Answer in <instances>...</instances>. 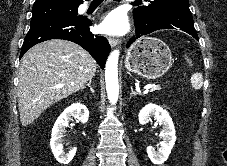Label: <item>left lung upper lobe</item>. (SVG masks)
<instances>
[{"mask_svg":"<svg viewBox=\"0 0 227 166\" xmlns=\"http://www.w3.org/2000/svg\"><path fill=\"white\" fill-rule=\"evenodd\" d=\"M179 7H189L188 0H149L148 6L133 10L134 18L140 21L150 20L158 11Z\"/></svg>","mask_w":227,"mask_h":166,"instance_id":"5c2ea615","label":"left lung upper lobe"}]
</instances>
